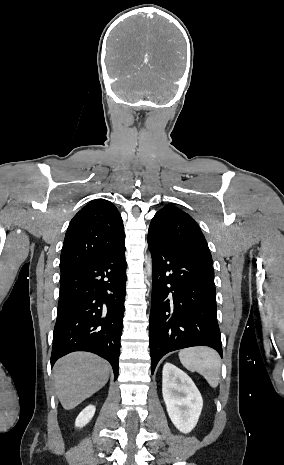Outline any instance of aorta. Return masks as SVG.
I'll list each match as a JSON object with an SVG mask.
<instances>
[{"label":"aorta","mask_w":284,"mask_h":465,"mask_svg":"<svg viewBox=\"0 0 284 465\" xmlns=\"http://www.w3.org/2000/svg\"><path fill=\"white\" fill-rule=\"evenodd\" d=\"M146 263H147V271H148V274L151 275V272H152L151 259H149Z\"/></svg>","instance_id":"obj_1"}]
</instances>
